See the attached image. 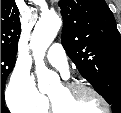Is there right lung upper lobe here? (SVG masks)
<instances>
[{"instance_id":"cb5924a9","label":"right lung upper lobe","mask_w":121,"mask_h":113,"mask_svg":"<svg viewBox=\"0 0 121 113\" xmlns=\"http://www.w3.org/2000/svg\"><path fill=\"white\" fill-rule=\"evenodd\" d=\"M21 26L15 0H1V53L15 55Z\"/></svg>"}]
</instances>
